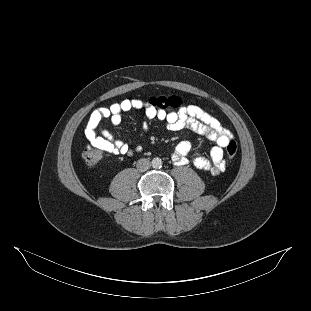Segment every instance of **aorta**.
<instances>
[{
  "label": "aorta",
  "mask_w": 311,
  "mask_h": 311,
  "mask_svg": "<svg viewBox=\"0 0 311 311\" xmlns=\"http://www.w3.org/2000/svg\"><path fill=\"white\" fill-rule=\"evenodd\" d=\"M151 163L153 168H160L162 166V160L160 158H153Z\"/></svg>",
  "instance_id": "762f6f07"
}]
</instances>
